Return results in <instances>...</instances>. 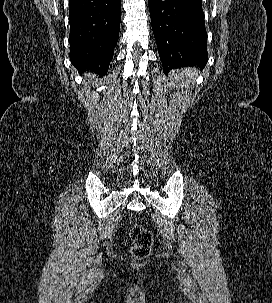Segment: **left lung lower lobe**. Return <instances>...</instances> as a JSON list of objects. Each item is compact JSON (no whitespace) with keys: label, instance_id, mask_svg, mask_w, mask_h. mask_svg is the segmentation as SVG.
<instances>
[{"label":"left lung lower lobe","instance_id":"1","mask_svg":"<svg viewBox=\"0 0 272 303\" xmlns=\"http://www.w3.org/2000/svg\"><path fill=\"white\" fill-rule=\"evenodd\" d=\"M202 0H148L163 71L205 66L208 59Z\"/></svg>","mask_w":272,"mask_h":303}]
</instances>
